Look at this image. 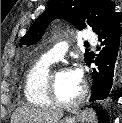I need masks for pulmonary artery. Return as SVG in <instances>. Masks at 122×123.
I'll use <instances>...</instances> for the list:
<instances>
[{
	"mask_svg": "<svg viewBox=\"0 0 122 123\" xmlns=\"http://www.w3.org/2000/svg\"><path fill=\"white\" fill-rule=\"evenodd\" d=\"M84 40L91 42V43H95L97 40V37L92 32H86L84 34ZM67 50H68V43L66 41H62L60 43H57L55 46H53L45 54V56L53 61H58L63 58Z\"/></svg>",
	"mask_w": 122,
	"mask_h": 123,
	"instance_id": "e3ab8cb5",
	"label": "pulmonary artery"
}]
</instances>
